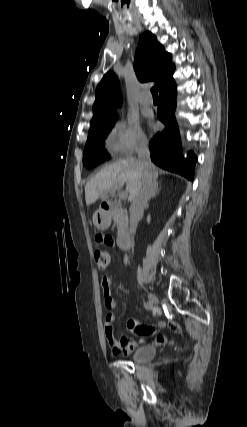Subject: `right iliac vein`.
Wrapping results in <instances>:
<instances>
[{
    "label": "right iliac vein",
    "mask_w": 247,
    "mask_h": 427,
    "mask_svg": "<svg viewBox=\"0 0 247 427\" xmlns=\"http://www.w3.org/2000/svg\"><path fill=\"white\" fill-rule=\"evenodd\" d=\"M148 298L152 305H155V306L158 305V298L154 294L148 293Z\"/></svg>",
    "instance_id": "right-iliac-vein-1"
}]
</instances>
